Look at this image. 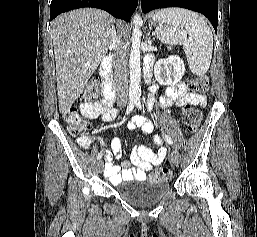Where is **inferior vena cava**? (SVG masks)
<instances>
[{
    "label": "inferior vena cava",
    "mask_w": 257,
    "mask_h": 237,
    "mask_svg": "<svg viewBox=\"0 0 257 237\" xmlns=\"http://www.w3.org/2000/svg\"><path fill=\"white\" fill-rule=\"evenodd\" d=\"M109 47L115 59L114 79L117 101L126 104L128 97V51L118 37L115 28L112 31Z\"/></svg>",
    "instance_id": "inferior-vena-cava-1"
}]
</instances>
